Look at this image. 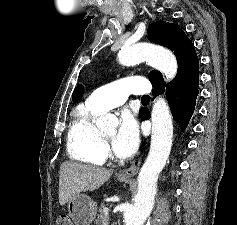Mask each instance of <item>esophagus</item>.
<instances>
[{
    "instance_id": "34e87169",
    "label": "esophagus",
    "mask_w": 237,
    "mask_h": 225,
    "mask_svg": "<svg viewBox=\"0 0 237 225\" xmlns=\"http://www.w3.org/2000/svg\"><path fill=\"white\" fill-rule=\"evenodd\" d=\"M142 162V156L137 157L131 164L130 167L121 170L117 175L121 178H131L135 176L140 168Z\"/></svg>"
}]
</instances>
